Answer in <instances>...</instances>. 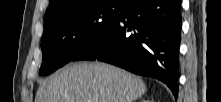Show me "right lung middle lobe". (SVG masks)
<instances>
[{"label":"right lung middle lobe","mask_w":221,"mask_h":102,"mask_svg":"<svg viewBox=\"0 0 221 102\" xmlns=\"http://www.w3.org/2000/svg\"><path fill=\"white\" fill-rule=\"evenodd\" d=\"M125 0H81L44 21L41 74H50L103 35L119 18Z\"/></svg>","instance_id":"right-lung-middle-lobe-1"}]
</instances>
